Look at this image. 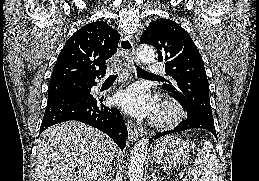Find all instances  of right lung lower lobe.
I'll return each instance as SVG.
<instances>
[{
  "label": "right lung lower lobe",
  "instance_id": "obj_1",
  "mask_svg": "<svg viewBox=\"0 0 259 181\" xmlns=\"http://www.w3.org/2000/svg\"><path fill=\"white\" fill-rule=\"evenodd\" d=\"M65 90L48 98L40 133L46 128L68 120L89 124L109 135L124 149L128 132L120 112L102 104L103 98L93 96L94 79L75 81Z\"/></svg>",
  "mask_w": 259,
  "mask_h": 181
}]
</instances>
